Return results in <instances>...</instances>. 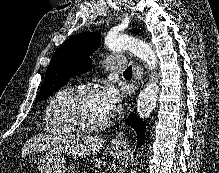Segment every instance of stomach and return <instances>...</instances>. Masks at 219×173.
<instances>
[{
  "label": "stomach",
  "instance_id": "1",
  "mask_svg": "<svg viewBox=\"0 0 219 173\" xmlns=\"http://www.w3.org/2000/svg\"><path fill=\"white\" fill-rule=\"evenodd\" d=\"M112 154L114 158L120 159L126 155V151L123 146H113ZM38 168L40 173H66L65 159L62 152L47 150L41 155Z\"/></svg>",
  "mask_w": 219,
  "mask_h": 173
}]
</instances>
